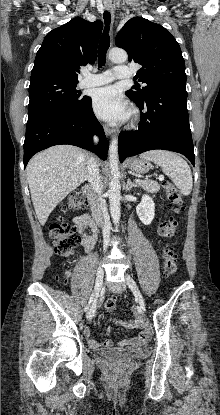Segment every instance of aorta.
Listing matches in <instances>:
<instances>
[{"mask_svg": "<svg viewBox=\"0 0 220 415\" xmlns=\"http://www.w3.org/2000/svg\"><path fill=\"white\" fill-rule=\"evenodd\" d=\"M109 59L114 63H124L128 59L125 50L113 48L109 52ZM109 164L111 169V181L109 184L108 197L110 202V213L113 223L117 226L120 221V172H119V157H118V140L113 137L109 146Z\"/></svg>", "mask_w": 220, "mask_h": 415, "instance_id": "762f6f07", "label": "aorta"}]
</instances>
